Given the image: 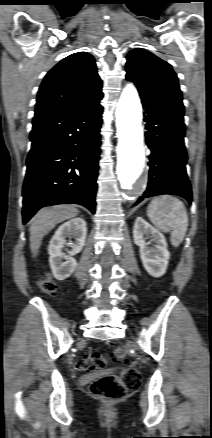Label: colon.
Returning <instances> with one entry per match:
<instances>
[{
  "instance_id": "colon-1",
  "label": "colon",
  "mask_w": 212,
  "mask_h": 438,
  "mask_svg": "<svg viewBox=\"0 0 212 438\" xmlns=\"http://www.w3.org/2000/svg\"><path fill=\"white\" fill-rule=\"evenodd\" d=\"M39 286L46 294H54L56 284L50 278H44ZM110 352L114 359L128 362L126 349L118 342L110 345ZM80 368L93 371H100L106 366V358L100 352H94L88 357L81 359L78 364ZM140 373L134 367H127L120 375L106 374L94 380L90 384V392L95 397L104 400H117L123 398L130 390H134L140 385Z\"/></svg>"
}]
</instances>
